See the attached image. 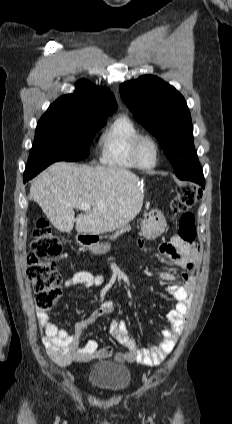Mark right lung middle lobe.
<instances>
[{
  "mask_svg": "<svg viewBox=\"0 0 232 424\" xmlns=\"http://www.w3.org/2000/svg\"><path fill=\"white\" fill-rule=\"evenodd\" d=\"M106 124L72 112H46L38 121L24 174H31L60 161L86 158L93 134Z\"/></svg>",
  "mask_w": 232,
  "mask_h": 424,
  "instance_id": "obj_1",
  "label": "right lung middle lobe"
}]
</instances>
